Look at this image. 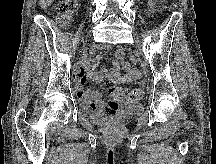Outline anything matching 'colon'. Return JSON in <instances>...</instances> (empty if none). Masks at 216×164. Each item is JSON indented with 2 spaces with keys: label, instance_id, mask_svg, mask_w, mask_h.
Segmentation results:
<instances>
[{
  "label": "colon",
  "instance_id": "1",
  "mask_svg": "<svg viewBox=\"0 0 216 164\" xmlns=\"http://www.w3.org/2000/svg\"><path fill=\"white\" fill-rule=\"evenodd\" d=\"M76 0H62L57 7L58 22L61 25H67L74 11L76 10ZM102 86L108 90L111 98L115 102L133 104L139 101L143 96V90L125 89L123 87L114 86L109 80L102 81Z\"/></svg>",
  "mask_w": 216,
  "mask_h": 164
}]
</instances>
